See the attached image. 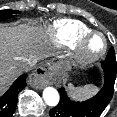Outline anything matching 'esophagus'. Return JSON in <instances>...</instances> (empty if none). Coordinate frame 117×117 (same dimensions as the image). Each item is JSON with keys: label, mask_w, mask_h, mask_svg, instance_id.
Returning a JSON list of instances; mask_svg holds the SVG:
<instances>
[{"label": "esophagus", "mask_w": 117, "mask_h": 117, "mask_svg": "<svg viewBox=\"0 0 117 117\" xmlns=\"http://www.w3.org/2000/svg\"><path fill=\"white\" fill-rule=\"evenodd\" d=\"M54 66L46 63L39 66L31 75L30 83L36 88H42L50 82L54 72Z\"/></svg>", "instance_id": "34e87169"}]
</instances>
